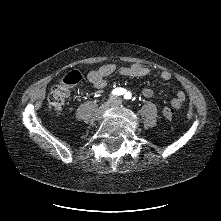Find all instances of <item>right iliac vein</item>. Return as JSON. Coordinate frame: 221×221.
Masks as SVG:
<instances>
[{"label":"right iliac vein","mask_w":221,"mask_h":221,"mask_svg":"<svg viewBox=\"0 0 221 221\" xmlns=\"http://www.w3.org/2000/svg\"><path fill=\"white\" fill-rule=\"evenodd\" d=\"M109 105H110V103L108 102V103H106L104 106H103V108H108L109 107Z\"/></svg>","instance_id":"1"}]
</instances>
